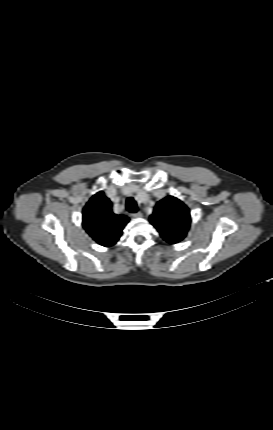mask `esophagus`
<instances>
[{
  "instance_id": "1",
  "label": "esophagus",
  "mask_w": 273,
  "mask_h": 430,
  "mask_svg": "<svg viewBox=\"0 0 273 430\" xmlns=\"http://www.w3.org/2000/svg\"><path fill=\"white\" fill-rule=\"evenodd\" d=\"M131 216H132L133 218H141V217L143 216V214H142L141 212H137V213H133V214H131Z\"/></svg>"
}]
</instances>
